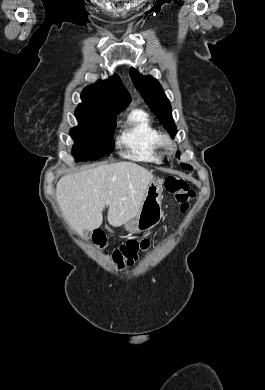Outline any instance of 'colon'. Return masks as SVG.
I'll use <instances>...</instances> for the list:
<instances>
[{
    "instance_id": "obj_1",
    "label": "colon",
    "mask_w": 265,
    "mask_h": 390,
    "mask_svg": "<svg viewBox=\"0 0 265 390\" xmlns=\"http://www.w3.org/2000/svg\"><path fill=\"white\" fill-rule=\"evenodd\" d=\"M165 188L168 192L173 194L175 199L180 203V210L182 212L189 209V203L194 199L195 192L190 188L187 181L170 176L165 179ZM93 241L98 246H102L104 244L103 234L96 233L93 236ZM152 243L153 241L148 238L130 240L113 250L110 254V258L119 268L132 266L139 260L140 255L148 250Z\"/></svg>"
}]
</instances>
